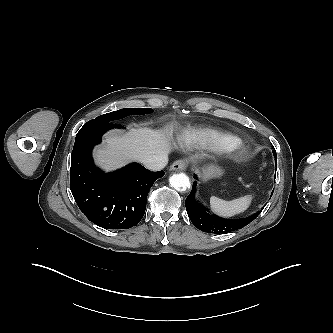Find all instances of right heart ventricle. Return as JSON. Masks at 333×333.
<instances>
[{"label": "right heart ventricle", "instance_id": "right-heart-ventricle-1", "mask_svg": "<svg viewBox=\"0 0 333 333\" xmlns=\"http://www.w3.org/2000/svg\"><path fill=\"white\" fill-rule=\"evenodd\" d=\"M180 142L186 148H214L233 144L237 139L214 128L198 127L186 129Z\"/></svg>", "mask_w": 333, "mask_h": 333}]
</instances>
